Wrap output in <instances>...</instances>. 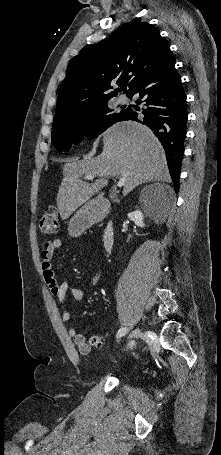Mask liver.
<instances>
[{
	"label": "liver",
	"instance_id": "liver-1",
	"mask_svg": "<svg viewBox=\"0 0 221 455\" xmlns=\"http://www.w3.org/2000/svg\"><path fill=\"white\" fill-rule=\"evenodd\" d=\"M94 175L92 184L82 175ZM109 176L125 177L123 194L149 181H167L165 152L146 126L124 121L113 125L103 136L102 153L88 160L69 161L63 166V179L57 193V207L63 220L93 196L101 198Z\"/></svg>",
	"mask_w": 221,
	"mask_h": 455
}]
</instances>
